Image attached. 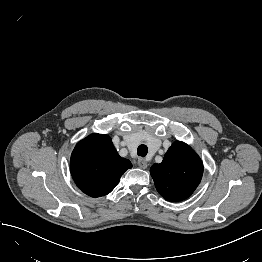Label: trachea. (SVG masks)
Here are the masks:
<instances>
[{
  "instance_id": "obj_1",
  "label": "trachea",
  "mask_w": 262,
  "mask_h": 262,
  "mask_svg": "<svg viewBox=\"0 0 262 262\" xmlns=\"http://www.w3.org/2000/svg\"><path fill=\"white\" fill-rule=\"evenodd\" d=\"M148 153V147L144 144H141L137 148V154L138 156L145 157Z\"/></svg>"
}]
</instances>
